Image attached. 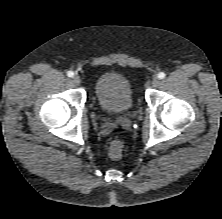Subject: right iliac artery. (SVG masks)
Wrapping results in <instances>:
<instances>
[{
	"instance_id": "82829eb1",
	"label": "right iliac artery",
	"mask_w": 222,
	"mask_h": 219,
	"mask_svg": "<svg viewBox=\"0 0 222 219\" xmlns=\"http://www.w3.org/2000/svg\"><path fill=\"white\" fill-rule=\"evenodd\" d=\"M67 76H68V77H73V76H74V72L68 71V72H67Z\"/></svg>"
}]
</instances>
